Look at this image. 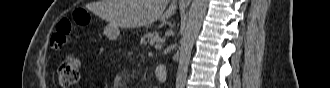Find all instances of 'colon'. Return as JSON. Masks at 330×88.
Listing matches in <instances>:
<instances>
[{
    "label": "colon",
    "instance_id": "5ec220e1",
    "mask_svg": "<svg viewBox=\"0 0 330 88\" xmlns=\"http://www.w3.org/2000/svg\"><path fill=\"white\" fill-rule=\"evenodd\" d=\"M76 20L80 24L87 22V16L79 11L76 13ZM72 30V23L68 18H62L56 25L55 32L51 36V46L53 49L62 48L67 41V37ZM80 62L76 57L68 56L61 61L57 68L60 84L63 87L74 86L79 80Z\"/></svg>",
    "mask_w": 330,
    "mask_h": 88
}]
</instances>
